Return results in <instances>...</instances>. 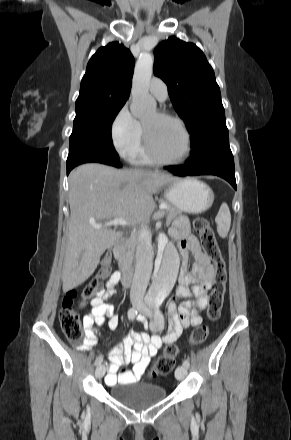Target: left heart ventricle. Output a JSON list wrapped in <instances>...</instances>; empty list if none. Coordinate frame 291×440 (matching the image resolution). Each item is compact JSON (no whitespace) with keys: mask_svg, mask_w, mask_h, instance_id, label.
<instances>
[{"mask_svg":"<svg viewBox=\"0 0 291 440\" xmlns=\"http://www.w3.org/2000/svg\"><path fill=\"white\" fill-rule=\"evenodd\" d=\"M151 143L159 155L168 161L181 159L186 152V139L180 126L173 120L163 118L157 111L143 120Z\"/></svg>","mask_w":291,"mask_h":440,"instance_id":"left-heart-ventricle-1","label":"left heart ventricle"}]
</instances>
